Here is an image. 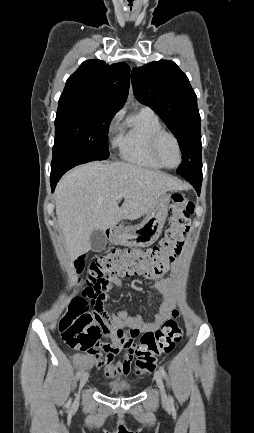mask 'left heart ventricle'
<instances>
[{
  "label": "left heart ventricle",
  "mask_w": 254,
  "mask_h": 433,
  "mask_svg": "<svg viewBox=\"0 0 254 433\" xmlns=\"http://www.w3.org/2000/svg\"><path fill=\"white\" fill-rule=\"evenodd\" d=\"M157 153L161 161L167 166H174L177 164L179 156L175 142L167 135L160 138Z\"/></svg>",
  "instance_id": "left-heart-ventricle-1"
}]
</instances>
